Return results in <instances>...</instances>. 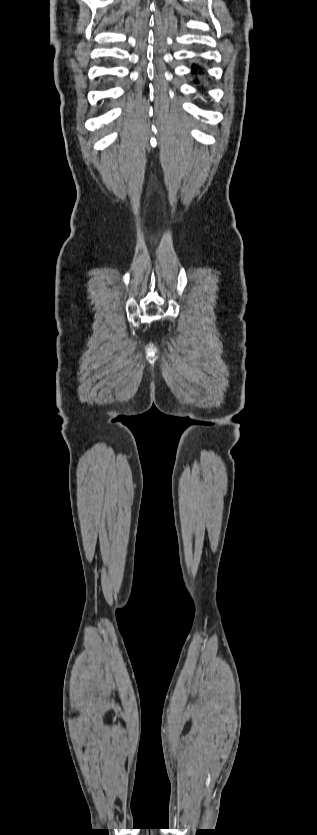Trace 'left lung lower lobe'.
Returning a JSON list of instances; mask_svg holds the SVG:
<instances>
[{
    "mask_svg": "<svg viewBox=\"0 0 317 835\" xmlns=\"http://www.w3.org/2000/svg\"><path fill=\"white\" fill-rule=\"evenodd\" d=\"M197 70H198V67L193 65L192 66V72L195 73ZM195 82H197V80Z\"/></svg>",
    "mask_w": 317,
    "mask_h": 835,
    "instance_id": "0a47b994",
    "label": "left lung lower lobe"
}]
</instances>
